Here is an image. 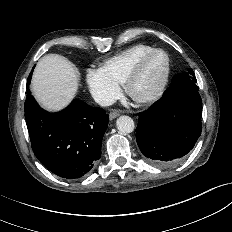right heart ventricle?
I'll return each instance as SVG.
<instances>
[{
	"mask_svg": "<svg viewBox=\"0 0 232 232\" xmlns=\"http://www.w3.org/2000/svg\"><path fill=\"white\" fill-rule=\"evenodd\" d=\"M151 49L150 45L136 44L105 60L100 69L118 84H123L136 60Z\"/></svg>",
	"mask_w": 232,
	"mask_h": 232,
	"instance_id": "1",
	"label": "right heart ventricle"
}]
</instances>
